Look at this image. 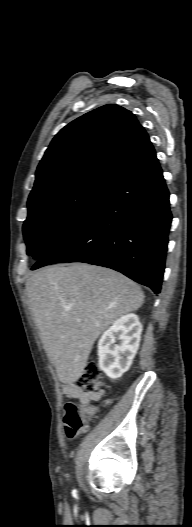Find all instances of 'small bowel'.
<instances>
[{"instance_id": "obj_1", "label": "small bowel", "mask_w": 192, "mask_h": 527, "mask_svg": "<svg viewBox=\"0 0 192 527\" xmlns=\"http://www.w3.org/2000/svg\"><path fill=\"white\" fill-rule=\"evenodd\" d=\"M65 394L79 399L83 404H88L91 401L98 400L102 392H85L76 384H66L64 387Z\"/></svg>"}]
</instances>
